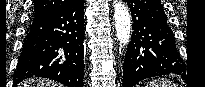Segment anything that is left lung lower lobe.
<instances>
[{
  "instance_id": "obj_1",
  "label": "left lung lower lobe",
  "mask_w": 205,
  "mask_h": 87,
  "mask_svg": "<svg viewBox=\"0 0 205 87\" xmlns=\"http://www.w3.org/2000/svg\"><path fill=\"white\" fill-rule=\"evenodd\" d=\"M132 14V38L123 64V85L133 87L139 81L157 75H183L173 31L159 0H125Z\"/></svg>"
}]
</instances>
